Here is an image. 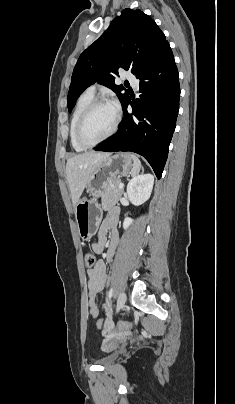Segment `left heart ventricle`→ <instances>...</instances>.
<instances>
[{
	"label": "left heart ventricle",
	"instance_id": "left-heart-ventricle-1",
	"mask_svg": "<svg viewBox=\"0 0 235 404\" xmlns=\"http://www.w3.org/2000/svg\"><path fill=\"white\" fill-rule=\"evenodd\" d=\"M115 111L111 105H100L89 115L83 128L84 139L94 142L106 135L111 129Z\"/></svg>",
	"mask_w": 235,
	"mask_h": 404
}]
</instances>
